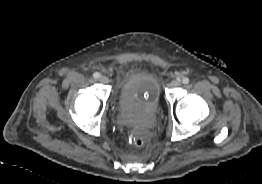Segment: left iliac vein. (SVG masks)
Here are the masks:
<instances>
[{
	"mask_svg": "<svg viewBox=\"0 0 262 184\" xmlns=\"http://www.w3.org/2000/svg\"><path fill=\"white\" fill-rule=\"evenodd\" d=\"M181 85V81L179 79H174L171 81V86L172 87H178Z\"/></svg>",
	"mask_w": 262,
	"mask_h": 184,
	"instance_id": "left-iliac-vein-1",
	"label": "left iliac vein"
}]
</instances>
